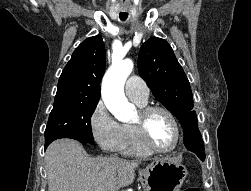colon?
Masks as SVG:
<instances>
[{
  "label": "colon",
  "mask_w": 251,
  "mask_h": 191,
  "mask_svg": "<svg viewBox=\"0 0 251 191\" xmlns=\"http://www.w3.org/2000/svg\"><path fill=\"white\" fill-rule=\"evenodd\" d=\"M185 191H199V189L196 187H187Z\"/></svg>",
  "instance_id": "5ec220e1"
}]
</instances>
